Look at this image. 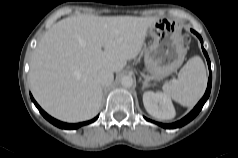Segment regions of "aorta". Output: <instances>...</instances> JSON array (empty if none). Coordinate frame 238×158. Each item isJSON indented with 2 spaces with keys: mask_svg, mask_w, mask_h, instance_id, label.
Returning <instances> with one entry per match:
<instances>
[{
  "mask_svg": "<svg viewBox=\"0 0 238 158\" xmlns=\"http://www.w3.org/2000/svg\"><path fill=\"white\" fill-rule=\"evenodd\" d=\"M121 85L127 88L131 87L133 85V78L129 75L123 76L121 79Z\"/></svg>",
  "mask_w": 238,
  "mask_h": 158,
  "instance_id": "obj_1",
  "label": "aorta"
}]
</instances>
